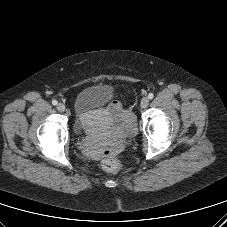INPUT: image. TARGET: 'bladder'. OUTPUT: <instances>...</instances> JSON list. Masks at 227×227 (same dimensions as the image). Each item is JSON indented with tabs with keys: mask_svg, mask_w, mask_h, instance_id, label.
Here are the masks:
<instances>
[{
	"mask_svg": "<svg viewBox=\"0 0 227 227\" xmlns=\"http://www.w3.org/2000/svg\"><path fill=\"white\" fill-rule=\"evenodd\" d=\"M114 96L113 89L104 84H97L82 89L74 101L75 134L90 130L104 116V106Z\"/></svg>",
	"mask_w": 227,
	"mask_h": 227,
	"instance_id": "bladder-1",
	"label": "bladder"
}]
</instances>
